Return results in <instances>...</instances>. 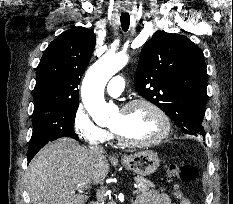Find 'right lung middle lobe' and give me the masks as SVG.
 Segmentation results:
<instances>
[{"label": "right lung middle lobe", "instance_id": "right-lung-middle-lobe-1", "mask_svg": "<svg viewBox=\"0 0 233 204\" xmlns=\"http://www.w3.org/2000/svg\"><path fill=\"white\" fill-rule=\"evenodd\" d=\"M78 104L57 105L34 110L32 115L33 133L29 148L43 147L49 141L60 137L79 140L74 132Z\"/></svg>", "mask_w": 233, "mask_h": 204}]
</instances>
